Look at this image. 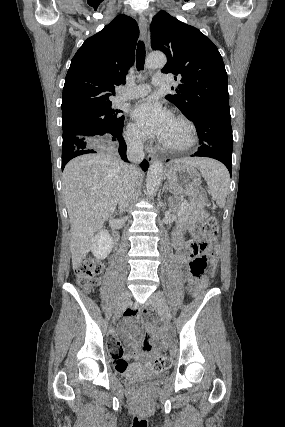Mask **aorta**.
Segmentation results:
<instances>
[{"instance_id": "obj_1", "label": "aorta", "mask_w": 285, "mask_h": 427, "mask_svg": "<svg viewBox=\"0 0 285 427\" xmlns=\"http://www.w3.org/2000/svg\"><path fill=\"white\" fill-rule=\"evenodd\" d=\"M166 56L162 52H152L146 60V68L159 69L165 66ZM163 172V164L160 160L155 161L149 167L146 179L147 196L152 198L158 191Z\"/></svg>"}]
</instances>
